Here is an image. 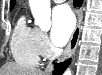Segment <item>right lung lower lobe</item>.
Returning <instances> with one entry per match:
<instances>
[{"label":"right lung lower lobe","mask_w":102,"mask_h":75,"mask_svg":"<svg viewBox=\"0 0 102 75\" xmlns=\"http://www.w3.org/2000/svg\"><path fill=\"white\" fill-rule=\"evenodd\" d=\"M81 3H82V0H74V6L75 7L80 6ZM69 64H70V59L65 61V62L56 64L55 69L53 71V75H62V73L68 67Z\"/></svg>","instance_id":"98d812e1"}]
</instances>
